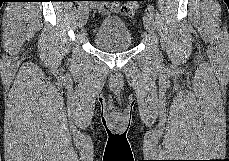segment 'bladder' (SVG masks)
Returning a JSON list of instances; mask_svg holds the SVG:
<instances>
[{
	"label": "bladder",
	"instance_id": "31cf9c89",
	"mask_svg": "<svg viewBox=\"0 0 229 161\" xmlns=\"http://www.w3.org/2000/svg\"><path fill=\"white\" fill-rule=\"evenodd\" d=\"M92 40L103 51L116 52L131 48L133 37L126 23L118 17H105L97 25Z\"/></svg>",
	"mask_w": 229,
	"mask_h": 161
}]
</instances>
